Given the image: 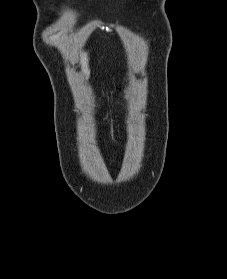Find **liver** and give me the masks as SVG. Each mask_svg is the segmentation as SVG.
<instances>
[{"mask_svg": "<svg viewBox=\"0 0 227 279\" xmlns=\"http://www.w3.org/2000/svg\"><path fill=\"white\" fill-rule=\"evenodd\" d=\"M81 69L82 72L86 74L87 78L89 77L90 71L88 69V58L87 54L81 55Z\"/></svg>", "mask_w": 227, "mask_h": 279, "instance_id": "liver-1", "label": "liver"}]
</instances>
